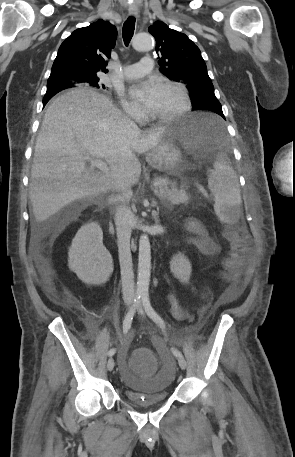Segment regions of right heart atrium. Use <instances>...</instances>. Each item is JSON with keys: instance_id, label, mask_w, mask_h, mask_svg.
<instances>
[{"instance_id": "1", "label": "right heart atrium", "mask_w": 295, "mask_h": 457, "mask_svg": "<svg viewBox=\"0 0 295 457\" xmlns=\"http://www.w3.org/2000/svg\"><path fill=\"white\" fill-rule=\"evenodd\" d=\"M121 104L124 111L129 115L131 118L135 120H141L144 116L143 110L137 106L136 104L128 101L121 95Z\"/></svg>"}]
</instances>
